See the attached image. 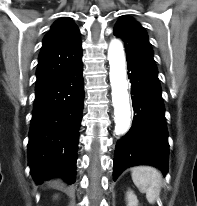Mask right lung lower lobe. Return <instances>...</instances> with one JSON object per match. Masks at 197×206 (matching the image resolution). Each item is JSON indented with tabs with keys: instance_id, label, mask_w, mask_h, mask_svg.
<instances>
[{
	"instance_id": "obj_1",
	"label": "right lung lower lobe",
	"mask_w": 197,
	"mask_h": 206,
	"mask_svg": "<svg viewBox=\"0 0 197 206\" xmlns=\"http://www.w3.org/2000/svg\"><path fill=\"white\" fill-rule=\"evenodd\" d=\"M82 61L66 76L36 92L29 132L30 172L37 184L53 176L75 181L78 128L84 87Z\"/></svg>"
}]
</instances>
